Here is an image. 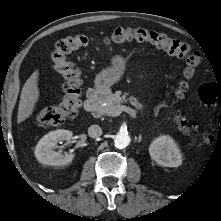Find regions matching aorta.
I'll list each match as a JSON object with an SVG mask.
<instances>
[{
    "instance_id": "1",
    "label": "aorta",
    "mask_w": 221,
    "mask_h": 221,
    "mask_svg": "<svg viewBox=\"0 0 221 221\" xmlns=\"http://www.w3.org/2000/svg\"><path fill=\"white\" fill-rule=\"evenodd\" d=\"M114 142H115L116 147L122 149V148H125L129 145L130 137L125 132H119L116 134V136L114 138Z\"/></svg>"
}]
</instances>
